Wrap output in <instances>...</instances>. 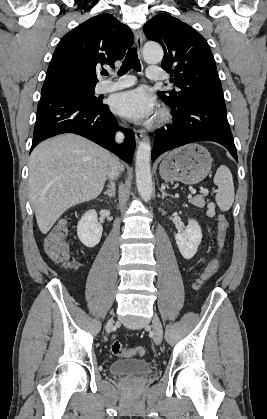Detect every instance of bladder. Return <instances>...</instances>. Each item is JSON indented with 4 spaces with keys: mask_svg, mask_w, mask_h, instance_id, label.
Instances as JSON below:
<instances>
[{
    "mask_svg": "<svg viewBox=\"0 0 267 419\" xmlns=\"http://www.w3.org/2000/svg\"><path fill=\"white\" fill-rule=\"evenodd\" d=\"M151 371V364L144 359H119L109 365V372L114 376L145 375Z\"/></svg>",
    "mask_w": 267,
    "mask_h": 419,
    "instance_id": "bladder-1",
    "label": "bladder"
}]
</instances>
